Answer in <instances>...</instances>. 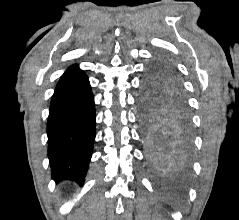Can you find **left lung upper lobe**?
Here are the masks:
<instances>
[{
	"label": "left lung upper lobe",
	"mask_w": 239,
	"mask_h": 220,
	"mask_svg": "<svg viewBox=\"0 0 239 220\" xmlns=\"http://www.w3.org/2000/svg\"><path fill=\"white\" fill-rule=\"evenodd\" d=\"M187 112L178 69L166 57L148 68L141 96V121L146 130L157 128L171 112Z\"/></svg>",
	"instance_id": "1"
}]
</instances>
